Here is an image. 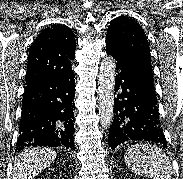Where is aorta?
I'll return each mask as SVG.
<instances>
[{"mask_svg":"<svg viewBox=\"0 0 183 179\" xmlns=\"http://www.w3.org/2000/svg\"><path fill=\"white\" fill-rule=\"evenodd\" d=\"M115 77V61L111 57L104 58L100 66L98 86L99 117L104 129L110 128L113 121Z\"/></svg>","mask_w":183,"mask_h":179,"instance_id":"aorta-1","label":"aorta"}]
</instances>
